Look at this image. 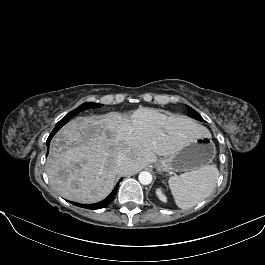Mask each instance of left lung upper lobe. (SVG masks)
Here are the masks:
<instances>
[{"label":"left lung upper lobe","mask_w":265,"mask_h":265,"mask_svg":"<svg viewBox=\"0 0 265 265\" xmlns=\"http://www.w3.org/2000/svg\"><path fill=\"white\" fill-rule=\"evenodd\" d=\"M186 107H187V111H188V116H190L196 120H199V121H204V119L200 116V114L198 112H196L194 109H192L189 106H186Z\"/></svg>","instance_id":"1"}]
</instances>
